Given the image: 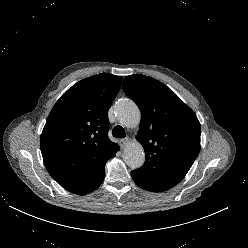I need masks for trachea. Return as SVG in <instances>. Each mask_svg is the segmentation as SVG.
I'll list each match as a JSON object with an SVG mask.
<instances>
[{"label": "trachea", "mask_w": 248, "mask_h": 248, "mask_svg": "<svg viewBox=\"0 0 248 248\" xmlns=\"http://www.w3.org/2000/svg\"><path fill=\"white\" fill-rule=\"evenodd\" d=\"M112 135L116 138H124L126 134L124 128L117 125L113 128Z\"/></svg>", "instance_id": "obj_1"}]
</instances>
